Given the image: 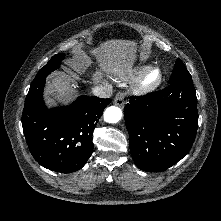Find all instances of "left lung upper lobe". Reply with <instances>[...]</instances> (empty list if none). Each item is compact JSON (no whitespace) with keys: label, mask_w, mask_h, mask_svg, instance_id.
Masks as SVG:
<instances>
[{"label":"left lung upper lobe","mask_w":221,"mask_h":221,"mask_svg":"<svg viewBox=\"0 0 221 221\" xmlns=\"http://www.w3.org/2000/svg\"><path fill=\"white\" fill-rule=\"evenodd\" d=\"M181 78H192V77L188 72V70L186 69L185 65L182 63V61L180 59H177L169 83Z\"/></svg>","instance_id":"left-lung-upper-lobe-1"}]
</instances>
